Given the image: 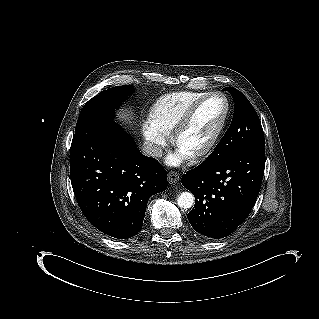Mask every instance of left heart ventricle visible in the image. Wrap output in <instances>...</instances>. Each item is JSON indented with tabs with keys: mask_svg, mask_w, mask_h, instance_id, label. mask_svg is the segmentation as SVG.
<instances>
[{
	"mask_svg": "<svg viewBox=\"0 0 319 319\" xmlns=\"http://www.w3.org/2000/svg\"><path fill=\"white\" fill-rule=\"evenodd\" d=\"M224 111V102L213 97L202 103L180 135V145L184 150L202 146L217 127Z\"/></svg>",
	"mask_w": 319,
	"mask_h": 319,
	"instance_id": "1",
	"label": "left heart ventricle"
}]
</instances>
